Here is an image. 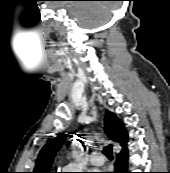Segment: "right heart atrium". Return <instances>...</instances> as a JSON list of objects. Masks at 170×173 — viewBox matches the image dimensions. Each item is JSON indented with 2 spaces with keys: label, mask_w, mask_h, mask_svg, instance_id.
Masks as SVG:
<instances>
[{
  "label": "right heart atrium",
  "mask_w": 170,
  "mask_h": 173,
  "mask_svg": "<svg viewBox=\"0 0 170 173\" xmlns=\"http://www.w3.org/2000/svg\"><path fill=\"white\" fill-rule=\"evenodd\" d=\"M62 169H64V172H63V173H72L70 170H72L73 167H71V166H66V167H63Z\"/></svg>",
  "instance_id": "1"
}]
</instances>
